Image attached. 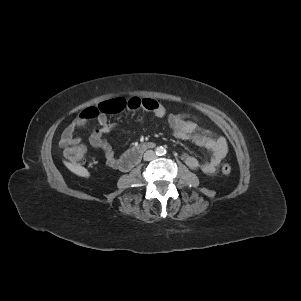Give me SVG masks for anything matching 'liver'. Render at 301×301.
I'll return each mask as SVG.
<instances>
[{
    "mask_svg": "<svg viewBox=\"0 0 301 301\" xmlns=\"http://www.w3.org/2000/svg\"><path fill=\"white\" fill-rule=\"evenodd\" d=\"M66 167L72 171L73 173H75L76 175L82 176V177H89L90 173L88 172V170L80 165H74L71 163H65Z\"/></svg>",
    "mask_w": 301,
    "mask_h": 301,
    "instance_id": "6515ba94",
    "label": "liver"
}]
</instances>
